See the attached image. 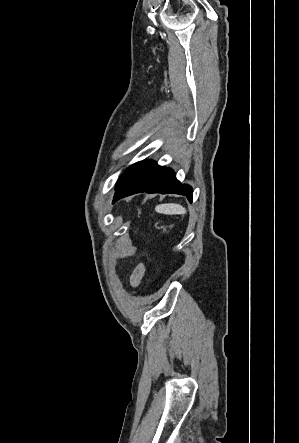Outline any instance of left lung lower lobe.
Instances as JSON below:
<instances>
[{"mask_svg": "<svg viewBox=\"0 0 299 443\" xmlns=\"http://www.w3.org/2000/svg\"><path fill=\"white\" fill-rule=\"evenodd\" d=\"M115 189L113 203L140 192L180 194L186 196L190 202L193 198V191L189 185L181 184L172 169L161 167L154 161L137 163Z\"/></svg>", "mask_w": 299, "mask_h": 443, "instance_id": "1", "label": "left lung lower lobe"}]
</instances>
